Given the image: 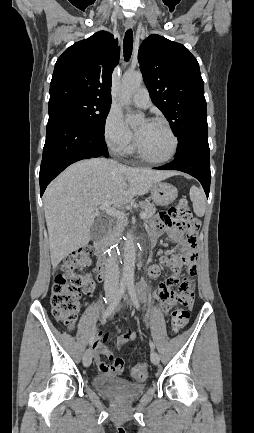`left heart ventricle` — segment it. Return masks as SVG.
Returning a JSON list of instances; mask_svg holds the SVG:
<instances>
[{
    "mask_svg": "<svg viewBox=\"0 0 254 433\" xmlns=\"http://www.w3.org/2000/svg\"><path fill=\"white\" fill-rule=\"evenodd\" d=\"M136 136L143 151L154 159L166 157L173 146L165 127L151 121H141L136 127Z\"/></svg>",
    "mask_w": 254,
    "mask_h": 433,
    "instance_id": "b2bd125f",
    "label": "left heart ventricle"
}]
</instances>
